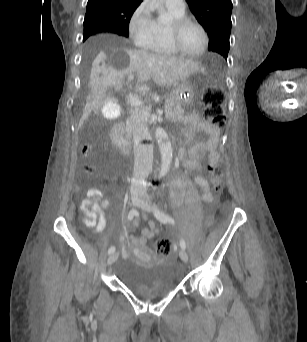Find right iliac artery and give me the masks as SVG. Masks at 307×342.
<instances>
[{"label":"right iliac artery","mask_w":307,"mask_h":342,"mask_svg":"<svg viewBox=\"0 0 307 342\" xmlns=\"http://www.w3.org/2000/svg\"><path fill=\"white\" fill-rule=\"evenodd\" d=\"M136 215H138V211L136 209H132L128 214V219L132 220ZM115 251V247L111 246L108 250V254H111Z\"/></svg>","instance_id":"82829eb1"}]
</instances>
